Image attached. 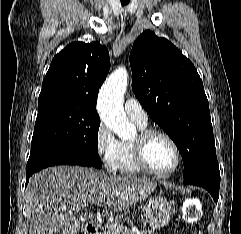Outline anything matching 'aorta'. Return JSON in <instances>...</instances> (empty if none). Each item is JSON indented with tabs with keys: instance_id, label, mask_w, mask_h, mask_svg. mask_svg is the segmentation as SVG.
Listing matches in <instances>:
<instances>
[{
	"instance_id": "aorta-1",
	"label": "aorta",
	"mask_w": 241,
	"mask_h": 234,
	"mask_svg": "<svg viewBox=\"0 0 241 234\" xmlns=\"http://www.w3.org/2000/svg\"><path fill=\"white\" fill-rule=\"evenodd\" d=\"M127 85L128 73L125 68L119 67L106 79L98 96L101 120L121 139L136 134V128L127 119L122 104Z\"/></svg>"
}]
</instances>
